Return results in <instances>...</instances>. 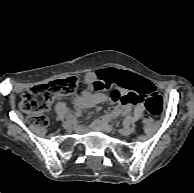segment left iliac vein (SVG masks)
Masks as SVG:
<instances>
[{
    "label": "left iliac vein",
    "mask_w": 194,
    "mask_h": 193,
    "mask_svg": "<svg viewBox=\"0 0 194 193\" xmlns=\"http://www.w3.org/2000/svg\"><path fill=\"white\" fill-rule=\"evenodd\" d=\"M134 128L131 126H125L124 128L120 129V134L123 136H129L133 133Z\"/></svg>",
    "instance_id": "4c4485c4"
}]
</instances>
